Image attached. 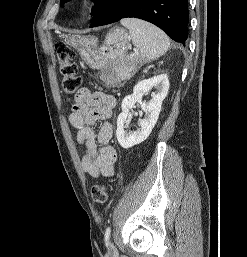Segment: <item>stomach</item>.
Listing matches in <instances>:
<instances>
[{
	"label": "stomach",
	"instance_id": "stomach-1",
	"mask_svg": "<svg viewBox=\"0 0 247 257\" xmlns=\"http://www.w3.org/2000/svg\"><path fill=\"white\" fill-rule=\"evenodd\" d=\"M129 35L120 27L109 31L104 41L95 36H75L67 43L75 47L84 62L93 69H103L109 64H115V82L129 78L135 71L138 59H129L127 47Z\"/></svg>",
	"mask_w": 247,
	"mask_h": 257
}]
</instances>
